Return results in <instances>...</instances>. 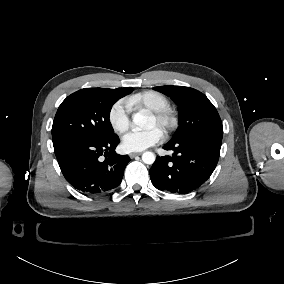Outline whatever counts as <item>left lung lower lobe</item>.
I'll return each instance as SVG.
<instances>
[{
  "mask_svg": "<svg viewBox=\"0 0 284 284\" xmlns=\"http://www.w3.org/2000/svg\"><path fill=\"white\" fill-rule=\"evenodd\" d=\"M163 148L174 153L172 157H157L150 169L153 185L162 191L187 194L200 187L213 173L221 140L195 136L169 141Z\"/></svg>",
  "mask_w": 284,
  "mask_h": 284,
  "instance_id": "1",
  "label": "left lung lower lobe"
}]
</instances>
